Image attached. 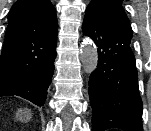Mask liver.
<instances>
[{"instance_id":"liver-1","label":"liver","mask_w":151,"mask_h":131,"mask_svg":"<svg viewBox=\"0 0 151 131\" xmlns=\"http://www.w3.org/2000/svg\"><path fill=\"white\" fill-rule=\"evenodd\" d=\"M31 116H32V114H31V112H30V111L26 112L25 117H26V119H27V120H28V119H30V118H31Z\"/></svg>"}]
</instances>
